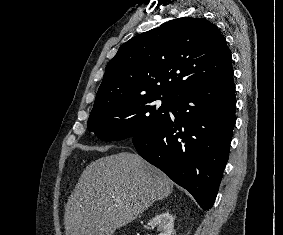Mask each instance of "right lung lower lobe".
I'll return each mask as SVG.
<instances>
[{
	"label": "right lung lower lobe",
	"instance_id": "obj_1",
	"mask_svg": "<svg viewBox=\"0 0 283 235\" xmlns=\"http://www.w3.org/2000/svg\"><path fill=\"white\" fill-rule=\"evenodd\" d=\"M233 73L172 99V116L133 144L145 160L188 190L203 210L216 198L236 122Z\"/></svg>",
	"mask_w": 283,
	"mask_h": 235
}]
</instances>
